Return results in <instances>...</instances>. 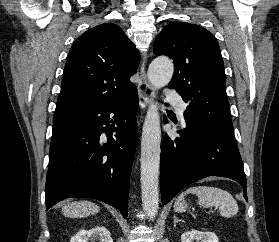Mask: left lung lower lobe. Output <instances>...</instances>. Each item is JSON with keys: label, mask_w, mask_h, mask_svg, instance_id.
<instances>
[{"label": "left lung lower lobe", "mask_w": 279, "mask_h": 242, "mask_svg": "<svg viewBox=\"0 0 279 242\" xmlns=\"http://www.w3.org/2000/svg\"><path fill=\"white\" fill-rule=\"evenodd\" d=\"M180 138L167 134L161 143V197L167 204L185 186L207 176L237 181L246 194V177L233 138L205 127L187 125Z\"/></svg>", "instance_id": "obj_1"}]
</instances>
